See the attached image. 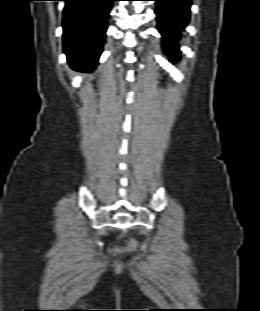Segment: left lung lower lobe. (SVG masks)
Here are the masks:
<instances>
[{
  "label": "left lung lower lobe",
  "instance_id": "left-lung-lower-lobe-1",
  "mask_svg": "<svg viewBox=\"0 0 260 311\" xmlns=\"http://www.w3.org/2000/svg\"><path fill=\"white\" fill-rule=\"evenodd\" d=\"M156 1V15L159 31L163 37L166 54L176 60L179 57L177 40L179 32L187 25L191 0H153Z\"/></svg>",
  "mask_w": 260,
  "mask_h": 311
}]
</instances>
